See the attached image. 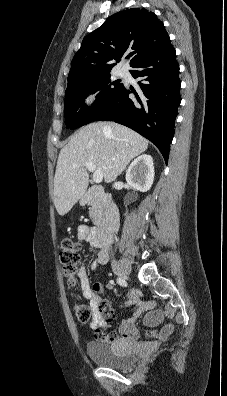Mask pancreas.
Wrapping results in <instances>:
<instances>
[{
    "label": "pancreas",
    "mask_w": 227,
    "mask_h": 396,
    "mask_svg": "<svg viewBox=\"0 0 227 396\" xmlns=\"http://www.w3.org/2000/svg\"><path fill=\"white\" fill-rule=\"evenodd\" d=\"M89 208V216L94 225H100L102 221L103 209L100 203L96 200H92Z\"/></svg>",
    "instance_id": "obj_1"
}]
</instances>
